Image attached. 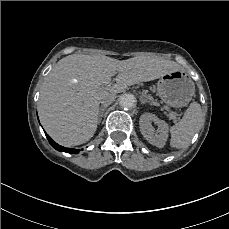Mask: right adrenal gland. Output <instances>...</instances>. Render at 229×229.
<instances>
[{
  "label": "right adrenal gland",
  "instance_id": "obj_1",
  "mask_svg": "<svg viewBox=\"0 0 229 229\" xmlns=\"http://www.w3.org/2000/svg\"><path fill=\"white\" fill-rule=\"evenodd\" d=\"M106 108H107V106H105V105H104L103 107H101V108L99 109V114H98V118H99V120H98V123H100V122H101L102 117H103V114H104V112H105Z\"/></svg>",
  "mask_w": 229,
  "mask_h": 229
}]
</instances>
